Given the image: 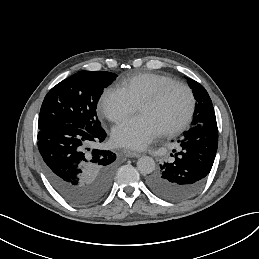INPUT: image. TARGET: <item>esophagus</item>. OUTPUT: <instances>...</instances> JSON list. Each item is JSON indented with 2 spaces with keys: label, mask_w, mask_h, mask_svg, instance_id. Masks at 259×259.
<instances>
[{
  "label": "esophagus",
  "mask_w": 259,
  "mask_h": 259,
  "mask_svg": "<svg viewBox=\"0 0 259 259\" xmlns=\"http://www.w3.org/2000/svg\"><path fill=\"white\" fill-rule=\"evenodd\" d=\"M126 156L138 158V157H140L141 155H140L139 153H136V152L127 150V151H126Z\"/></svg>",
  "instance_id": "1"
}]
</instances>
